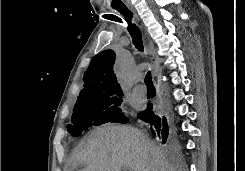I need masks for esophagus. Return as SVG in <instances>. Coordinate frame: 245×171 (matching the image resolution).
<instances>
[{
	"label": "esophagus",
	"mask_w": 245,
	"mask_h": 171,
	"mask_svg": "<svg viewBox=\"0 0 245 171\" xmlns=\"http://www.w3.org/2000/svg\"><path fill=\"white\" fill-rule=\"evenodd\" d=\"M128 6H129V8L133 11V8H132V6L130 5V4H128Z\"/></svg>",
	"instance_id": "obj_1"
}]
</instances>
